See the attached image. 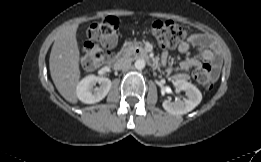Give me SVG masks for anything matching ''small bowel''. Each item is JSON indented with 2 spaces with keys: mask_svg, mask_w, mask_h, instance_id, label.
I'll return each mask as SVG.
<instances>
[{
  "mask_svg": "<svg viewBox=\"0 0 261 162\" xmlns=\"http://www.w3.org/2000/svg\"><path fill=\"white\" fill-rule=\"evenodd\" d=\"M206 41V36L201 33H196L190 36V38L187 41H184L179 44L178 46V51L180 53H186L188 52L191 48H196L197 51L199 52L200 56L211 63L212 65V70L210 73L212 74L213 77H215L220 69L221 66V59L219 55L204 46V42ZM181 68L183 70H191L194 68H203V65L195 59H188L183 62H181Z\"/></svg>",
  "mask_w": 261,
  "mask_h": 162,
  "instance_id": "obj_1",
  "label": "small bowel"
}]
</instances>
